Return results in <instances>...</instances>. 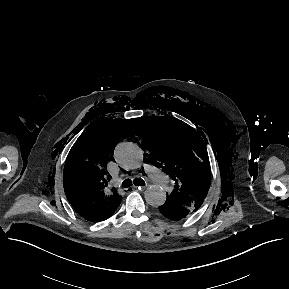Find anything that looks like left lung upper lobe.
<instances>
[{
  "label": "left lung upper lobe",
  "mask_w": 289,
  "mask_h": 289,
  "mask_svg": "<svg viewBox=\"0 0 289 289\" xmlns=\"http://www.w3.org/2000/svg\"><path fill=\"white\" fill-rule=\"evenodd\" d=\"M148 161L159 165L175 181L166 202L196 211L210 187V163L201 136L174 117H143L138 121Z\"/></svg>",
  "instance_id": "5c2ea615"
}]
</instances>
